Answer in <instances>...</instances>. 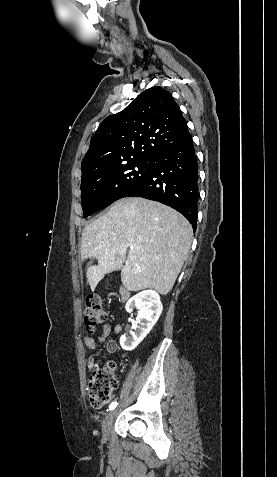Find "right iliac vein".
Here are the masks:
<instances>
[{
    "instance_id": "right-iliac-vein-1",
    "label": "right iliac vein",
    "mask_w": 277,
    "mask_h": 477,
    "mask_svg": "<svg viewBox=\"0 0 277 477\" xmlns=\"http://www.w3.org/2000/svg\"><path fill=\"white\" fill-rule=\"evenodd\" d=\"M115 414L116 412L115 411H111L109 412L104 421H103V424H102V434H103V438L104 439H107L109 437V434H110V429H111V426H112V422H113V419L115 417Z\"/></svg>"
}]
</instances>
